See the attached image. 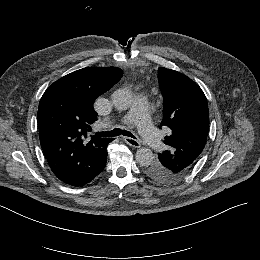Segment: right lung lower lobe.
Instances as JSON below:
<instances>
[{"instance_id":"obj_1","label":"right lung lower lobe","mask_w":260,"mask_h":260,"mask_svg":"<svg viewBox=\"0 0 260 260\" xmlns=\"http://www.w3.org/2000/svg\"><path fill=\"white\" fill-rule=\"evenodd\" d=\"M106 165V162L103 163L102 166H99L95 171H93L91 174L85 176V177H82V178H78V179H75L69 183H66L68 185H71V186H75V187H80V186H84L86 185L87 183L91 182L97 175H99L102 170L104 169Z\"/></svg>"}]
</instances>
